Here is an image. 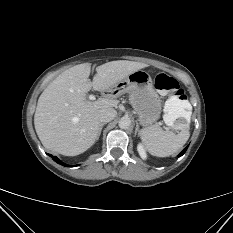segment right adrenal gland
Masks as SVG:
<instances>
[{
    "label": "right adrenal gland",
    "instance_id": "2a0ac1e0",
    "mask_svg": "<svg viewBox=\"0 0 233 233\" xmlns=\"http://www.w3.org/2000/svg\"><path fill=\"white\" fill-rule=\"evenodd\" d=\"M106 123H101L100 124V127H99V132H98V135H97V140L99 139V137H100V134H101V131H102V128H103V126L105 125Z\"/></svg>",
    "mask_w": 233,
    "mask_h": 233
}]
</instances>
